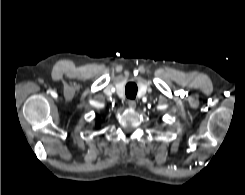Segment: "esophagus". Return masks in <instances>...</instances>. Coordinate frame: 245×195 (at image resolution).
<instances>
[{
    "label": "esophagus",
    "mask_w": 245,
    "mask_h": 195,
    "mask_svg": "<svg viewBox=\"0 0 245 195\" xmlns=\"http://www.w3.org/2000/svg\"><path fill=\"white\" fill-rule=\"evenodd\" d=\"M127 104H128V107L130 109H135V107H136V101L135 100H132V99L128 100Z\"/></svg>",
    "instance_id": "esophagus-1"
}]
</instances>
